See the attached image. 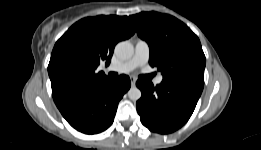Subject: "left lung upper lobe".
Returning <instances> with one entry per match:
<instances>
[{"label":"left lung upper lobe","instance_id":"5c2ea615","mask_svg":"<svg viewBox=\"0 0 261 150\" xmlns=\"http://www.w3.org/2000/svg\"><path fill=\"white\" fill-rule=\"evenodd\" d=\"M138 36L150 47L149 63L163 79L186 77L204 83L206 58L198 37L177 18L157 12L131 15Z\"/></svg>","mask_w":261,"mask_h":150}]
</instances>
